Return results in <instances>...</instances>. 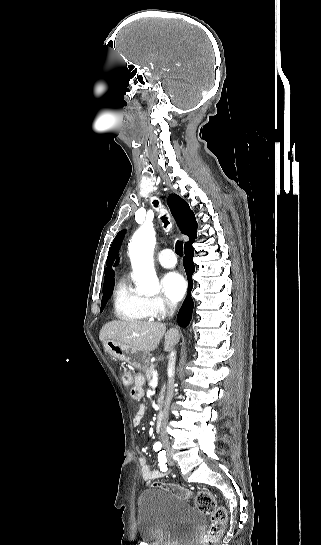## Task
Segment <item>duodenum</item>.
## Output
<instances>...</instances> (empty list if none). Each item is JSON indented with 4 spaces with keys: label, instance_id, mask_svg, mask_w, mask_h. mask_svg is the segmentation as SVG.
<instances>
[{
    "label": "duodenum",
    "instance_id": "410a0bca",
    "mask_svg": "<svg viewBox=\"0 0 321 545\" xmlns=\"http://www.w3.org/2000/svg\"><path fill=\"white\" fill-rule=\"evenodd\" d=\"M163 419H164V416H163L162 413H160V414L157 416V419H156V431H157L158 433L161 432V430H162Z\"/></svg>",
    "mask_w": 321,
    "mask_h": 545
}]
</instances>
